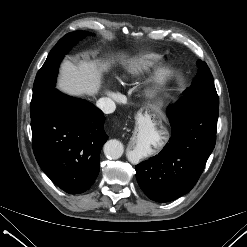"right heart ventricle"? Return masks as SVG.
Here are the masks:
<instances>
[{
	"label": "right heart ventricle",
	"mask_w": 247,
	"mask_h": 247,
	"mask_svg": "<svg viewBox=\"0 0 247 247\" xmlns=\"http://www.w3.org/2000/svg\"><path fill=\"white\" fill-rule=\"evenodd\" d=\"M161 56L157 53H143L132 59L124 68L123 79L137 78L149 71L160 60Z\"/></svg>",
	"instance_id": "1"
}]
</instances>
